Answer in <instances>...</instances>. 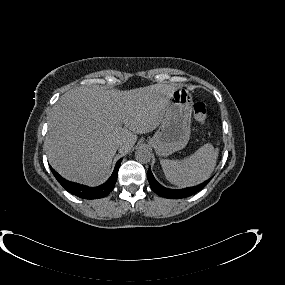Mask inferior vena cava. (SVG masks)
<instances>
[{"label": "inferior vena cava", "instance_id": "inferior-vena-cava-1", "mask_svg": "<svg viewBox=\"0 0 285 285\" xmlns=\"http://www.w3.org/2000/svg\"><path fill=\"white\" fill-rule=\"evenodd\" d=\"M122 146H123V143H121V142H119V143L116 144V147H117V148H121Z\"/></svg>", "mask_w": 285, "mask_h": 285}]
</instances>
